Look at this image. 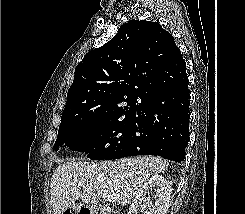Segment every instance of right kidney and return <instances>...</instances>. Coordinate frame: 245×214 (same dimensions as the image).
<instances>
[{
	"label": "right kidney",
	"mask_w": 245,
	"mask_h": 214,
	"mask_svg": "<svg viewBox=\"0 0 245 214\" xmlns=\"http://www.w3.org/2000/svg\"><path fill=\"white\" fill-rule=\"evenodd\" d=\"M150 194L154 198L153 203L151 202ZM170 195L171 187L169 181L161 175H153L138 190L128 214H138L139 206L144 208L148 206V210L144 214H166L169 208Z\"/></svg>",
	"instance_id": "ca27d5eb"
}]
</instances>
